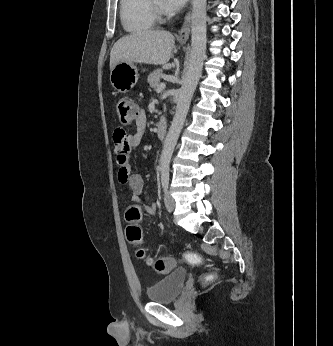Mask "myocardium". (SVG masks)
<instances>
[{
	"mask_svg": "<svg viewBox=\"0 0 333 346\" xmlns=\"http://www.w3.org/2000/svg\"><path fill=\"white\" fill-rule=\"evenodd\" d=\"M151 7L155 16V19L159 21H164L165 20V14L163 10L161 9L160 5H158L155 0H150Z\"/></svg>",
	"mask_w": 333,
	"mask_h": 346,
	"instance_id": "obj_1",
	"label": "myocardium"
}]
</instances>
